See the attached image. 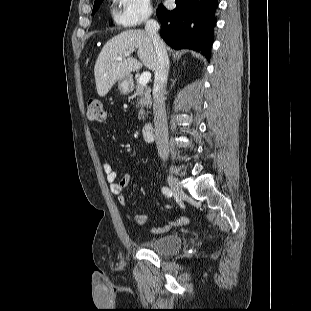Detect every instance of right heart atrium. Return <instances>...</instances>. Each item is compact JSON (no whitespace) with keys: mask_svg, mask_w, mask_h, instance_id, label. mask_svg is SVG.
Masks as SVG:
<instances>
[{"mask_svg":"<svg viewBox=\"0 0 311 311\" xmlns=\"http://www.w3.org/2000/svg\"><path fill=\"white\" fill-rule=\"evenodd\" d=\"M113 17L124 29H135L148 20L152 13L150 0H113Z\"/></svg>","mask_w":311,"mask_h":311,"instance_id":"1","label":"right heart atrium"}]
</instances>
